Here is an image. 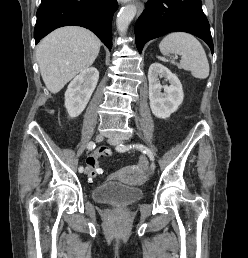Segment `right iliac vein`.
Listing matches in <instances>:
<instances>
[{
  "label": "right iliac vein",
  "mask_w": 248,
  "mask_h": 258,
  "mask_svg": "<svg viewBox=\"0 0 248 258\" xmlns=\"http://www.w3.org/2000/svg\"><path fill=\"white\" fill-rule=\"evenodd\" d=\"M104 137H105L104 134H103V133H100V134H98V135L95 137V140H96V142H102L103 139H104ZM84 173H85V174H88V173H89V169L86 168L85 171H84Z\"/></svg>",
  "instance_id": "63e3f726"
}]
</instances>
